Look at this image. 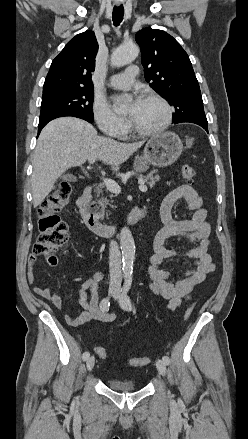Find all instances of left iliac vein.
<instances>
[{
	"mask_svg": "<svg viewBox=\"0 0 248 439\" xmlns=\"http://www.w3.org/2000/svg\"><path fill=\"white\" fill-rule=\"evenodd\" d=\"M114 298H115V299H119V294L116 293V294L114 295ZM156 367H157L158 372H159L162 376H165V375H166V364H165V362H164L163 360H161V359H157V360H156Z\"/></svg>",
	"mask_w": 248,
	"mask_h": 439,
	"instance_id": "1",
	"label": "left iliac vein"
}]
</instances>
